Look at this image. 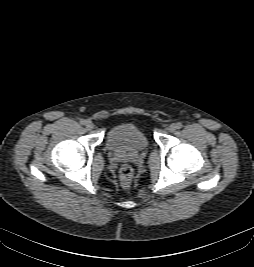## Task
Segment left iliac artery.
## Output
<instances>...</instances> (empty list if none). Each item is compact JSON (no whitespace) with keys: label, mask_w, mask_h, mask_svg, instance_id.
<instances>
[{"label":"left iliac artery","mask_w":254,"mask_h":267,"mask_svg":"<svg viewBox=\"0 0 254 267\" xmlns=\"http://www.w3.org/2000/svg\"><path fill=\"white\" fill-rule=\"evenodd\" d=\"M176 125H177L178 129L182 128V126H183L182 123H180V122H178Z\"/></svg>","instance_id":"left-iliac-artery-1"}]
</instances>
